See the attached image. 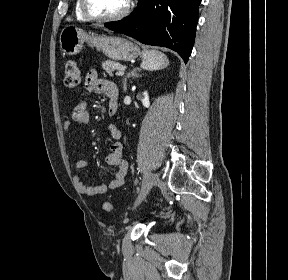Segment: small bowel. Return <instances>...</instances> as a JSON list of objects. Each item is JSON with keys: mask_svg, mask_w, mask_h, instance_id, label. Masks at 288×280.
I'll list each match as a JSON object with an SVG mask.
<instances>
[{"mask_svg": "<svg viewBox=\"0 0 288 280\" xmlns=\"http://www.w3.org/2000/svg\"><path fill=\"white\" fill-rule=\"evenodd\" d=\"M85 89L89 93H105L109 97L117 98V89L110 82L99 77L98 72L92 69L88 72L84 82ZM90 120V113L87 107V102L79 103L71 112L70 119L63 122V128L69 132L73 127L86 125ZM109 133L112 138L110 152L106 156V163L114 166L116 171L113 179L109 183L99 186H89L84 183L80 176L74 177V183L78 191L88 196H100L107 194L110 190L121 187L126 179L128 164L124 158V148L120 141L121 131L116 124L109 125ZM87 165V160L82 158L75 162V168L81 170Z\"/></svg>", "mask_w": 288, "mask_h": 280, "instance_id": "small-bowel-1", "label": "small bowel"}]
</instances>
